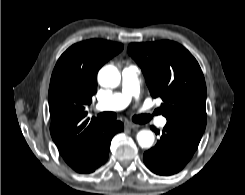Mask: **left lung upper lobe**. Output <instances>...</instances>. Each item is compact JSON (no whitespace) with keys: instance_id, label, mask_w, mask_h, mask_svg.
<instances>
[{"instance_id":"1","label":"left lung upper lobe","mask_w":245,"mask_h":195,"mask_svg":"<svg viewBox=\"0 0 245 195\" xmlns=\"http://www.w3.org/2000/svg\"><path fill=\"white\" fill-rule=\"evenodd\" d=\"M128 52L141 67L167 122L199 132L206 127V85L196 59L182 45L168 40L131 43Z\"/></svg>"}]
</instances>
